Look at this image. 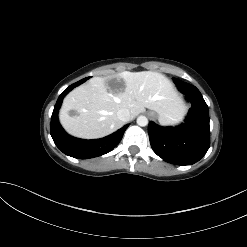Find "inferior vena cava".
Here are the masks:
<instances>
[{
  "instance_id": "inferior-vena-cava-1",
  "label": "inferior vena cava",
  "mask_w": 247,
  "mask_h": 247,
  "mask_svg": "<svg viewBox=\"0 0 247 247\" xmlns=\"http://www.w3.org/2000/svg\"><path fill=\"white\" fill-rule=\"evenodd\" d=\"M117 117L119 120H121L122 122H127L130 120V112L128 109H120L117 112Z\"/></svg>"
}]
</instances>
